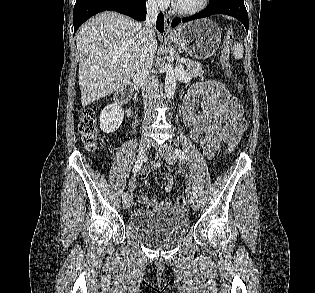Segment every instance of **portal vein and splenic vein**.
Masks as SVG:
<instances>
[{
  "label": "portal vein and splenic vein",
  "mask_w": 315,
  "mask_h": 293,
  "mask_svg": "<svg viewBox=\"0 0 315 293\" xmlns=\"http://www.w3.org/2000/svg\"><path fill=\"white\" fill-rule=\"evenodd\" d=\"M180 62L181 63H186V59L185 58H181ZM124 66H126V65H124Z\"/></svg>",
  "instance_id": "portal-vein-and-splenic-vein-1"
}]
</instances>
